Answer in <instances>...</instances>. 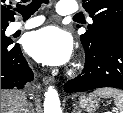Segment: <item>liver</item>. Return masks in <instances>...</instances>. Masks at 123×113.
Masks as SVG:
<instances>
[{
    "label": "liver",
    "instance_id": "liver-1",
    "mask_svg": "<svg viewBox=\"0 0 123 113\" xmlns=\"http://www.w3.org/2000/svg\"><path fill=\"white\" fill-rule=\"evenodd\" d=\"M27 104L25 92L1 90V113H23Z\"/></svg>",
    "mask_w": 123,
    "mask_h": 113
}]
</instances>
